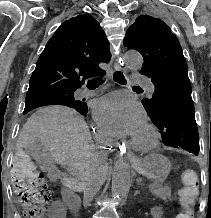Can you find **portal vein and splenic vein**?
I'll list each match as a JSON object with an SVG mask.
<instances>
[{
    "mask_svg": "<svg viewBox=\"0 0 211 218\" xmlns=\"http://www.w3.org/2000/svg\"><path fill=\"white\" fill-rule=\"evenodd\" d=\"M144 187H145V188H147L148 186H147V185H145Z\"/></svg>",
    "mask_w": 211,
    "mask_h": 218,
    "instance_id": "obj_1",
    "label": "portal vein and splenic vein"
}]
</instances>
